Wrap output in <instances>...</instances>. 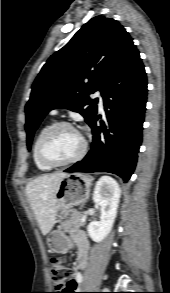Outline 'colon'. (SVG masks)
Returning a JSON list of instances; mask_svg holds the SVG:
<instances>
[{"label": "colon", "instance_id": "1", "mask_svg": "<svg viewBox=\"0 0 170 293\" xmlns=\"http://www.w3.org/2000/svg\"><path fill=\"white\" fill-rule=\"evenodd\" d=\"M51 264L52 281L58 291L54 293H64L68 290L67 282L71 274L70 269L59 259H53Z\"/></svg>", "mask_w": 170, "mask_h": 293}]
</instances>
